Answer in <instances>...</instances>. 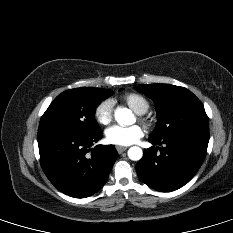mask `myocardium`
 Returning a JSON list of instances; mask_svg holds the SVG:
<instances>
[{"label": "myocardium", "mask_w": 233, "mask_h": 233, "mask_svg": "<svg viewBox=\"0 0 233 233\" xmlns=\"http://www.w3.org/2000/svg\"><path fill=\"white\" fill-rule=\"evenodd\" d=\"M141 120L144 122V124L146 125V126H151V121H150V119H148V118H141Z\"/></svg>", "instance_id": "myocardium-1"}]
</instances>
